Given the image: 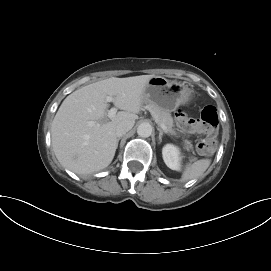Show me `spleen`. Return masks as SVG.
Segmentation results:
<instances>
[{
    "mask_svg": "<svg viewBox=\"0 0 271 271\" xmlns=\"http://www.w3.org/2000/svg\"><path fill=\"white\" fill-rule=\"evenodd\" d=\"M211 164L210 159H201L194 163H188L182 173L181 181L187 182L191 179L201 177Z\"/></svg>",
    "mask_w": 271,
    "mask_h": 271,
    "instance_id": "spleen-1",
    "label": "spleen"
}]
</instances>
